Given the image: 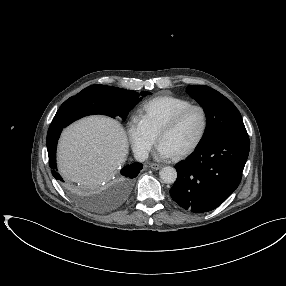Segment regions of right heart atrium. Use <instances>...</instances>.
<instances>
[{"instance_id": "obj_1", "label": "right heart atrium", "mask_w": 286, "mask_h": 286, "mask_svg": "<svg viewBox=\"0 0 286 286\" xmlns=\"http://www.w3.org/2000/svg\"><path fill=\"white\" fill-rule=\"evenodd\" d=\"M128 135L135 153L140 157L148 156L155 143L156 134L148 128L140 116L135 115L130 119Z\"/></svg>"}]
</instances>
